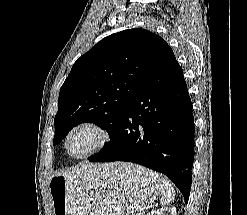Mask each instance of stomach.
I'll return each mask as SVG.
<instances>
[{
  "mask_svg": "<svg viewBox=\"0 0 247 215\" xmlns=\"http://www.w3.org/2000/svg\"><path fill=\"white\" fill-rule=\"evenodd\" d=\"M160 186L159 175L151 170L112 163L55 175L49 192L54 215H129L154 202Z\"/></svg>",
  "mask_w": 247,
  "mask_h": 215,
  "instance_id": "obj_1",
  "label": "stomach"
}]
</instances>
